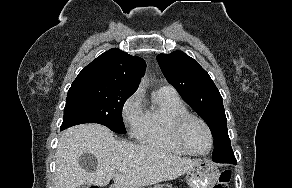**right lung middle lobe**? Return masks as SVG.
I'll return each instance as SVG.
<instances>
[{
  "instance_id": "1",
  "label": "right lung middle lobe",
  "mask_w": 292,
  "mask_h": 188,
  "mask_svg": "<svg viewBox=\"0 0 292 188\" xmlns=\"http://www.w3.org/2000/svg\"><path fill=\"white\" fill-rule=\"evenodd\" d=\"M133 93L98 83H72L61 130L82 123H99L116 133L125 134L122 108Z\"/></svg>"
}]
</instances>
